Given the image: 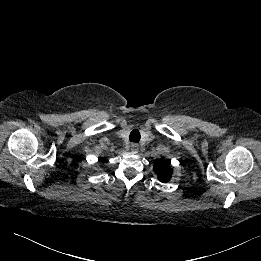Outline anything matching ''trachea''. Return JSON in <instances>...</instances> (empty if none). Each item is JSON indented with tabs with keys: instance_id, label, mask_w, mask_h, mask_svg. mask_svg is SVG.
Listing matches in <instances>:
<instances>
[{
	"instance_id": "obj_1",
	"label": "trachea",
	"mask_w": 261,
	"mask_h": 261,
	"mask_svg": "<svg viewBox=\"0 0 261 261\" xmlns=\"http://www.w3.org/2000/svg\"><path fill=\"white\" fill-rule=\"evenodd\" d=\"M129 140L131 142H139L140 141V132L137 129H134L130 135H129Z\"/></svg>"
}]
</instances>
